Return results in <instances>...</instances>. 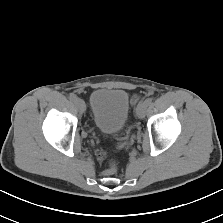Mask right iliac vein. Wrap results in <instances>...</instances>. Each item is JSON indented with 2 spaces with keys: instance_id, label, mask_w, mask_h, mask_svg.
Returning a JSON list of instances; mask_svg holds the SVG:
<instances>
[{
  "instance_id": "obj_1",
  "label": "right iliac vein",
  "mask_w": 223,
  "mask_h": 223,
  "mask_svg": "<svg viewBox=\"0 0 223 223\" xmlns=\"http://www.w3.org/2000/svg\"><path fill=\"white\" fill-rule=\"evenodd\" d=\"M75 104L81 113L85 112L86 106H85V102L82 99L80 98L76 99Z\"/></svg>"
}]
</instances>
